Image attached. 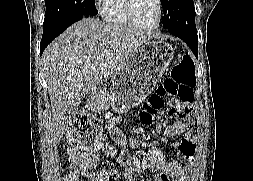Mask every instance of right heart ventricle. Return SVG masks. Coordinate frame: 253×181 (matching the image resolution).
<instances>
[{
	"mask_svg": "<svg viewBox=\"0 0 253 181\" xmlns=\"http://www.w3.org/2000/svg\"><path fill=\"white\" fill-rule=\"evenodd\" d=\"M103 16L105 21L112 25H130L124 13L123 0H108L104 8Z\"/></svg>",
	"mask_w": 253,
	"mask_h": 181,
	"instance_id": "1",
	"label": "right heart ventricle"
}]
</instances>
